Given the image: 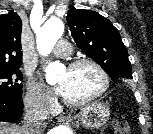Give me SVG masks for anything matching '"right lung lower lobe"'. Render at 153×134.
I'll use <instances>...</instances> for the list:
<instances>
[{"instance_id":"98d812e1","label":"right lung lower lobe","mask_w":153,"mask_h":134,"mask_svg":"<svg viewBox=\"0 0 153 134\" xmlns=\"http://www.w3.org/2000/svg\"><path fill=\"white\" fill-rule=\"evenodd\" d=\"M23 113L21 98L0 94V121L15 122Z\"/></svg>"}]
</instances>
